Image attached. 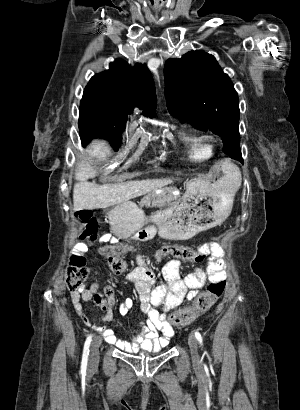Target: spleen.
<instances>
[{
	"label": "spleen",
	"mask_w": 300,
	"mask_h": 410,
	"mask_svg": "<svg viewBox=\"0 0 300 410\" xmlns=\"http://www.w3.org/2000/svg\"><path fill=\"white\" fill-rule=\"evenodd\" d=\"M221 169L226 175V178L235 193L240 188L242 181L239 168L236 165L226 161L223 163Z\"/></svg>",
	"instance_id": "obj_1"
}]
</instances>
